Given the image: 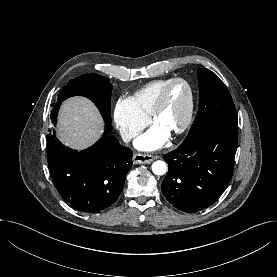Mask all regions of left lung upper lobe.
Listing matches in <instances>:
<instances>
[{
  "label": "left lung upper lobe",
  "instance_id": "1",
  "mask_svg": "<svg viewBox=\"0 0 277 277\" xmlns=\"http://www.w3.org/2000/svg\"><path fill=\"white\" fill-rule=\"evenodd\" d=\"M197 73L200 88L199 111L183 142L210 129L237 130L238 128L236 109L225 84L206 68L198 69Z\"/></svg>",
  "mask_w": 277,
  "mask_h": 277
}]
</instances>
